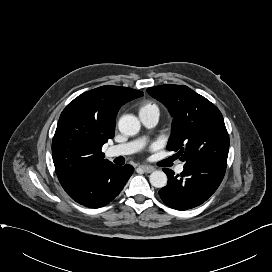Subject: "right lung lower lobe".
<instances>
[{"mask_svg": "<svg viewBox=\"0 0 272 272\" xmlns=\"http://www.w3.org/2000/svg\"><path fill=\"white\" fill-rule=\"evenodd\" d=\"M133 171L134 168L129 164L116 166L107 162L80 177L64 190L73 200L83 206L103 207L121 192Z\"/></svg>", "mask_w": 272, "mask_h": 272, "instance_id": "1", "label": "right lung lower lobe"}]
</instances>
